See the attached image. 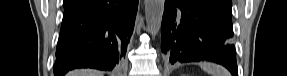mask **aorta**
Listing matches in <instances>:
<instances>
[{
    "mask_svg": "<svg viewBox=\"0 0 287 76\" xmlns=\"http://www.w3.org/2000/svg\"><path fill=\"white\" fill-rule=\"evenodd\" d=\"M164 0H145V18L149 33L155 37L162 24Z\"/></svg>",
    "mask_w": 287,
    "mask_h": 76,
    "instance_id": "obj_1",
    "label": "aorta"
}]
</instances>
